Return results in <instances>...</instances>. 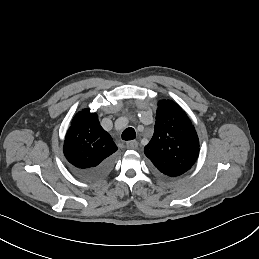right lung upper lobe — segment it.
<instances>
[{"label":"right lung upper lobe","mask_w":259,"mask_h":259,"mask_svg":"<svg viewBox=\"0 0 259 259\" xmlns=\"http://www.w3.org/2000/svg\"><path fill=\"white\" fill-rule=\"evenodd\" d=\"M117 146L112 137L100 125L97 114L83 109L73 118L65 136L63 152L76 168L98 166L113 156Z\"/></svg>","instance_id":"obj_1"}]
</instances>
